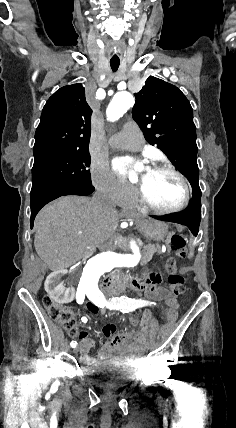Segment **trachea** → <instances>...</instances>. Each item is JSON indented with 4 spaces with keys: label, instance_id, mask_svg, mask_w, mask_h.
Instances as JSON below:
<instances>
[{
    "label": "trachea",
    "instance_id": "trachea-1",
    "mask_svg": "<svg viewBox=\"0 0 236 428\" xmlns=\"http://www.w3.org/2000/svg\"><path fill=\"white\" fill-rule=\"evenodd\" d=\"M120 52L119 51H110L109 52V57H108V62L111 66V69L113 70V72H116L119 68L120 62H121V57H120Z\"/></svg>",
    "mask_w": 236,
    "mask_h": 428
}]
</instances>
